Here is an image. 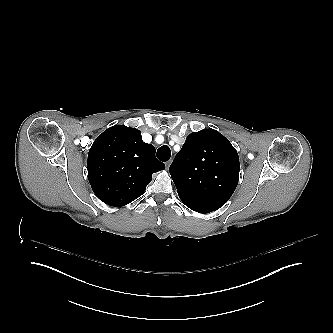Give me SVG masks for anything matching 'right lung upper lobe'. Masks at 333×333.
Instances as JSON below:
<instances>
[{
	"mask_svg": "<svg viewBox=\"0 0 333 333\" xmlns=\"http://www.w3.org/2000/svg\"><path fill=\"white\" fill-rule=\"evenodd\" d=\"M88 179L104 203L121 207L143 194L152 174L165 169L154 146L142 141L140 131L124 125L100 134L88 154Z\"/></svg>",
	"mask_w": 333,
	"mask_h": 333,
	"instance_id": "right-lung-upper-lobe-1",
	"label": "right lung upper lobe"
}]
</instances>
